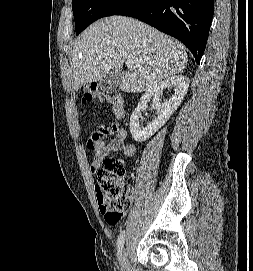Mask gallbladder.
Wrapping results in <instances>:
<instances>
[{
	"label": "gallbladder",
	"instance_id": "obj_1",
	"mask_svg": "<svg viewBox=\"0 0 253 271\" xmlns=\"http://www.w3.org/2000/svg\"><path fill=\"white\" fill-rule=\"evenodd\" d=\"M123 77V72L111 73L107 75L100 83V88L104 93L115 92Z\"/></svg>",
	"mask_w": 253,
	"mask_h": 271
}]
</instances>
